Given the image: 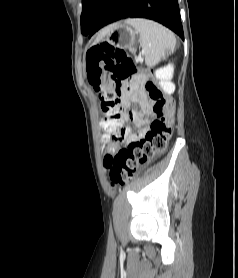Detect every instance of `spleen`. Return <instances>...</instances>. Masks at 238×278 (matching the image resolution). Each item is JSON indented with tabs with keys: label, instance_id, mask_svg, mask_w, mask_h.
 I'll use <instances>...</instances> for the list:
<instances>
[{
	"label": "spleen",
	"instance_id": "3e777b00",
	"mask_svg": "<svg viewBox=\"0 0 238 278\" xmlns=\"http://www.w3.org/2000/svg\"><path fill=\"white\" fill-rule=\"evenodd\" d=\"M126 23L140 34V45L148 67L159 63L165 57L166 51L175 50L174 34L162 25L140 18L128 19Z\"/></svg>",
	"mask_w": 238,
	"mask_h": 278
}]
</instances>
